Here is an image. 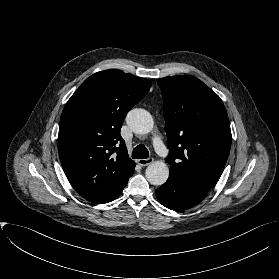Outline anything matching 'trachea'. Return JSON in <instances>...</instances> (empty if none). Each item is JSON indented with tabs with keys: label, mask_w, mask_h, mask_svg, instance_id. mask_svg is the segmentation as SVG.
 Segmentation results:
<instances>
[{
	"label": "trachea",
	"mask_w": 279,
	"mask_h": 279,
	"mask_svg": "<svg viewBox=\"0 0 279 279\" xmlns=\"http://www.w3.org/2000/svg\"><path fill=\"white\" fill-rule=\"evenodd\" d=\"M148 157H149V152L143 144H140L133 149L132 152L133 159H147Z\"/></svg>",
	"instance_id": "3493384b"
}]
</instances>
